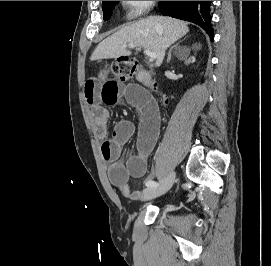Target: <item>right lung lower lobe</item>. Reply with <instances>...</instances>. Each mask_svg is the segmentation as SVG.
I'll use <instances>...</instances> for the list:
<instances>
[{"label": "right lung lower lobe", "mask_w": 271, "mask_h": 266, "mask_svg": "<svg viewBox=\"0 0 271 266\" xmlns=\"http://www.w3.org/2000/svg\"><path fill=\"white\" fill-rule=\"evenodd\" d=\"M211 1H159L162 15L186 20L202 27L214 38L210 13Z\"/></svg>", "instance_id": "1"}]
</instances>
